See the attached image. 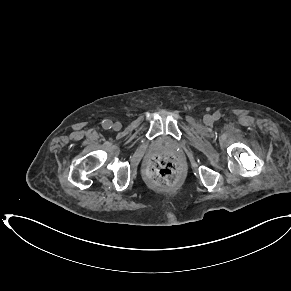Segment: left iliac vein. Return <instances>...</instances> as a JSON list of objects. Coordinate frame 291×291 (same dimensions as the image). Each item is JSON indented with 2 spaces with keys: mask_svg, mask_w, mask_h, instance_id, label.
I'll return each instance as SVG.
<instances>
[{
  "mask_svg": "<svg viewBox=\"0 0 291 291\" xmlns=\"http://www.w3.org/2000/svg\"><path fill=\"white\" fill-rule=\"evenodd\" d=\"M212 121H213V118H212L211 115H205L204 116V122L205 123L210 124V123H212Z\"/></svg>",
  "mask_w": 291,
  "mask_h": 291,
  "instance_id": "4c4485c4",
  "label": "left iliac vein"
}]
</instances>
